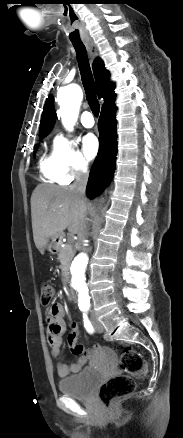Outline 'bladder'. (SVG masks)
<instances>
[{
	"label": "bladder",
	"mask_w": 183,
	"mask_h": 438,
	"mask_svg": "<svg viewBox=\"0 0 183 438\" xmlns=\"http://www.w3.org/2000/svg\"><path fill=\"white\" fill-rule=\"evenodd\" d=\"M99 381V373L94 369L86 368L76 375L62 378L58 382V389L64 395L88 399Z\"/></svg>",
	"instance_id": "31cf9c89"
}]
</instances>
